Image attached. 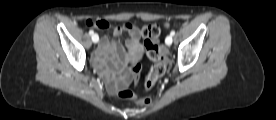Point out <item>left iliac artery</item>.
Listing matches in <instances>:
<instances>
[{
    "instance_id": "obj_1",
    "label": "left iliac artery",
    "mask_w": 276,
    "mask_h": 120,
    "mask_svg": "<svg viewBox=\"0 0 276 120\" xmlns=\"http://www.w3.org/2000/svg\"><path fill=\"white\" fill-rule=\"evenodd\" d=\"M170 35H171V36H174V35H175V31L172 30V31L170 32ZM165 43H166V42H165Z\"/></svg>"
}]
</instances>
